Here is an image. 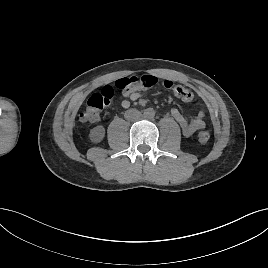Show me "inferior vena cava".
<instances>
[{"mask_svg": "<svg viewBox=\"0 0 268 268\" xmlns=\"http://www.w3.org/2000/svg\"><path fill=\"white\" fill-rule=\"evenodd\" d=\"M124 117L130 121L139 120L141 118V112L136 109H129L125 112Z\"/></svg>", "mask_w": 268, "mask_h": 268, "instance_id": "602c4592", "label": "inferior vena cava"}]
</instances>
